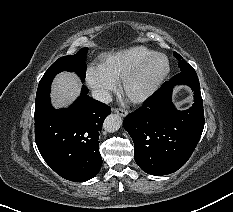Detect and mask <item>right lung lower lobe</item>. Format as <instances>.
I'll list each match as a JSON object with an SVG mask.
<instances>
[{"instance_id":"1","label":"right lung lower lobe","mask_w":233,"mask_h":212,"mask_svg":"<svg viewBox=\"0 0 233 212\" xmlns=\"http://www.w3.org/2000/svg\"><path fill=\"white\" fill-rule=\"evenodd\" d=\"M81 95L67 109H55L49 94L35 103V141L46 163L61 177L87 181L99 173V131L110 107Z\"/></svg>"}]
</instances>
